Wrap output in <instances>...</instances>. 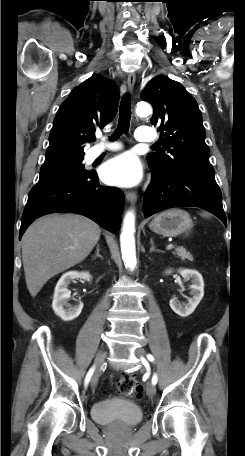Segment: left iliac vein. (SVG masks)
<instances>
[{"label":"left iliac vein","mask_w":245,"mask_h":456,"mask_svg":"<svg viewBox=\"0 0 245 456\" xmlns=\"http://www.w3.org/2000/svg\"><path fill=\"white\" fill-rule=\"evenodd\" d=\"M145 354L146 353H145V350L143 348H138V349L135 350V355L138 356L143 363L146 362V360L144 358ZM146 392H147V394L149 396L155 395V393H156L155 385L153 383H148L147 388H146Z\"/></svg>","instance_id":"left-iliac-vein-1"}]
</instances>
